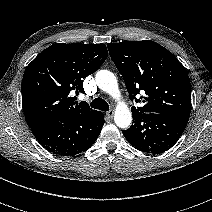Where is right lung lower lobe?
I'll use <instances>...</instances> for the list:
<instances>
[{
	"label": "right lung lower lobe",
	"instance_id": "right-lung-lower-lobe-1",
	"mask_svg": "<svg viewBox=\"0 0 212 212\" xmlns=\"http://www.w3.org/2000/svg\"><path fill=\"white\" fill-rule=\"evenodd\" d=\"M104 125V115L98 112L64 121L51 120L31 128L38 142L58 156H74L89 149Z\"/></svg>",
	"mask_w": 212,
	"mask_h": 212
}]
</instances>
